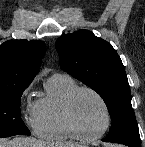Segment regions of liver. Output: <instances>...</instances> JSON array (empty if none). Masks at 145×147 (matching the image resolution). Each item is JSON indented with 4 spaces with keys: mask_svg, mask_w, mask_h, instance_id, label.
Returning <instances> with one entry per match:
<instances>
[{
    "mask_svg": "<svg viewBox=\"0 0 145 147\" xmlns=\"http://www.w3.org/2000/svg\"><path fill=\"white\" fill-rule=\"evenodd\" d=\"M0 147H83L74 142H46L35 138L17 137L0 142Z\"/></svg>",
    "mask_w": 145,
    "mask_h": 147,
    "instance_id": "liver-1",
    "label": "liver"
}]
</instances>
